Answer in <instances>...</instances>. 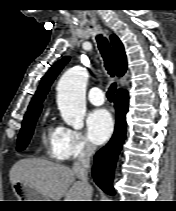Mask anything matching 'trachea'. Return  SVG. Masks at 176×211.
<instances>
[{
	"mask_svg": "<svg viewBox=\"0 0 176 211\" xmlns=\"http://www.w3.org/2000/svg\"><path fill=\"white\" fill-rule=\"evenodd\" d=\"M96 40L98 43V48L100 50V53L104 59V66L106 70L108 71V74L111 75V77H114V68H113V58L111 53V48L108 40L103 37L102 35H97ZM117 85L116 83H112L107 91V98L109 101H112L114 98V94L116 92Z\"/></svg>",
	"mask_w": 176,
	"mask_h": 211,
	"instance_id": "trachea-1",
	"label": "trachea"
}]
</instances>
